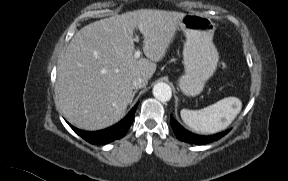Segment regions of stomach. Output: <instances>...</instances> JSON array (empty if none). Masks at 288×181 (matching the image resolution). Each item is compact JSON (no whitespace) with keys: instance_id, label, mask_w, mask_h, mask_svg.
Listing matches in <instances>:
<instances>
[{"instance_id":"0dacf381","label":"stomach","mask_w":288,"mask_h":181,"mask_svg":"<svg viewBox=\"0 0 288 181\" xmlns=\"http://www.w3.org/2000/svg\"><path fill=\"white\" fill-rule=\"evenodd\" d=\"M180 28L186 36L183 48L185 73L178 79V85L186 96H197L206 81L214 74L219 54L213 44L215 24L200 14H185Z\"/></svg>"}]
</instances>
